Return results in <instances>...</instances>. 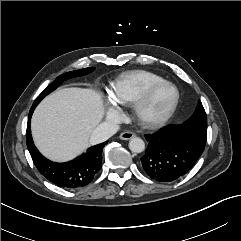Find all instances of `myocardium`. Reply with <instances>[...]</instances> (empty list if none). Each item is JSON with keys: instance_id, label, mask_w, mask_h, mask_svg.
I'll return each mask as SVG.
<instances>
[{"instance_id": "obj_1", "label": "myocardium", "mask_w": 241, "mask_h": 241, "mask_svg": "<svg viewBox=\"0 0 241 241\" xmlns=\"http://www.w3.org/2000/svg\"><path fill=\"white\" fill-rule=\"evenodd\" d=\"M171 87L175 96L170 104V106L166 109V111L159 116H151L148 114V107L155 96V94L163 87ZM180 102V91L178 87L169 81H161L152 85L150 88L146 90V92L135 102L134 104V113L137 120L144 126L148 128H160L164 126L174 115L178 105Z\"/></svg>"}]
</instances>
